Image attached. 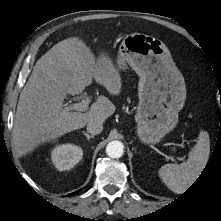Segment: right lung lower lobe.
Masks as SVG:
<instances>
[{
    "label": "right lung lower lobe",
    "instance_id": "98d812e1",
    "mask_svg": "<svg viewBox=\"0 0 221 221\" xmlns=\"http://www.w3.org/2000/svg\"><path fill=\"white\" fill-rule=\"evenodd\" d=\"M77 192H78V191H76V192H74V193H71V194H69V196H70V195H73V194H75V193H77Z\"/></svg>",
    "mask_w": 221,
    "mask_h": 221
}]
</instances>
